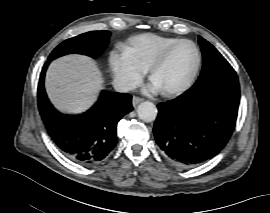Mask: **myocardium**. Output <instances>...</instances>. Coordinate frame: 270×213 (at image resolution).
I'll return each instance as SVG.
<instances>
[{"mask_svg": "<svg viewBox=\"0 0 270 213\" xmlns=\"http://www.w3.org/2000/svg\"><path fill=\"white\" fill-rule=\"evenodd\" d=\"M181 44H190L196 53V65L195 68L190 76V78L181 86L176 87V88H172V89H166V90H161V94L163 96H174V95H179L185 91H187L189 88H191V86L194 84L196 77L198 75L199 69H200V65H201V54L200 51L197 47V45L188 39H179L175 42H173L172 44H170L169 46H167L165 49H163L149 64V79L152 81L154 73L156 71V69L166 60V58L168 57V55L170 54V52L177 47L178 45Z\"/></svg>", "mask_w": 270, "mask_h": 213, "instance_id": "obj_1", "label": "myocardium"}]
</instances>
